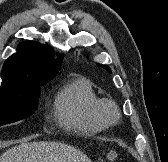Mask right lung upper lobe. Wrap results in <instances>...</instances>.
<instances>
[{"label": "right lung upper lobe", "instance_id": "right-lung-upper-lobe-1", "mask_svg": "<svg viewBox=\"0 0 168 162\" xmlns=\"http://www.w3.org/2000/svg\"><path fill=\"white\" fill-rule=\"evenodd\" d=\"M54 52L47 45L24 42L18 52L10 56L2 68L0 91L14 89L24 82H48L58 73L62 56L53 58Z\"/></svg>", "mask_w": 168, "mask_h": 162}]
</instances>
